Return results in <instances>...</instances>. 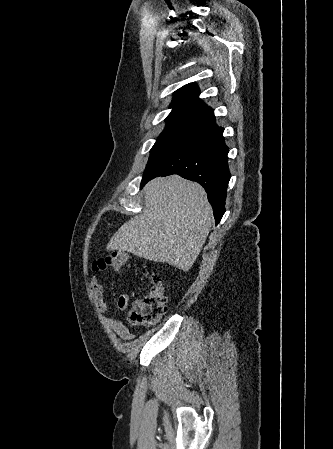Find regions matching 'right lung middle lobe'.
<instances>
[{
  "label": "right lung middle lobe",
  "instance_id": "dd1d6c3e",
  "mask_svg": "<svg viewBox=\"0 0 333 449\" xmlns=\"http://www.w3.org/2000/svg\"><path fill=\"white\" fill-rule=\"evenodd\" d=\"M201 131L202 130L193 127H165L150 151V157L144 175L149 173L159 162L171 154L175 149L183 145L186 141Z\"/></svg>",
  "mask_w": 333,
  "mask_h": 449
}]
</instances>
